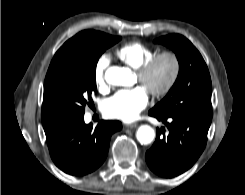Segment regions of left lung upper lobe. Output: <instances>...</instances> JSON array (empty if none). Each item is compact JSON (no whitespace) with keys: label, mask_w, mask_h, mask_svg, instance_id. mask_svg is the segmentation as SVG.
<instances>
[{"label":"left lung upper lobe","mask_w":245,"mask_h":195,"mask_svg":"<svg viewBox=\"0 0 245 195\" xmlns=\"http://www.w3.org/2000/svg\"><path fill=\"white\" fill-rule=\"evenodd\" d=\"M171 48L179 62L178 77L165 98L151 110L212 117V84L207 65L195 46L184 36L170 34L155 40Z\"/></svg>","instance_id":"left-lung-upper-lobe-1"}]
</instances>
